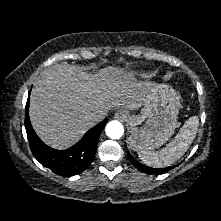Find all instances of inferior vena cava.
<instances>
[{
  "label": "inferior vena cava",
  "mask_w": 221,
  "mask_h": 221,
  "mask_svg": "<svg viewBox=\"0 0 221 221\" xmlns=\"http://www.w3.org/2000/svg\"><path fill=\"white\" fill-rule=\"evenodd\" d=\"M102 118H103L102 115L91 114L86 118V120L89 124H95L99 122Z\"/></svg>",
  "instance_id": "602c4592"
}]
</instances>
